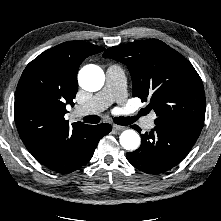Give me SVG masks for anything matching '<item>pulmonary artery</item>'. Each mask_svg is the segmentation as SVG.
<instances>
[{
	"label": "pulmonary artery",
	"mask_w": 221,
	"mask_h": 221,
	"mask_svg": "<svg viewBox=\"0 0 221 221\" xmlns=\"http://www.w3.org/2000/svg\"><path fill=\"white\" fill-rule=\"evenodd\" d=\"M126 98L125 75L118 65H110L106 70V82L101 91L96 93L88 103L77 109L78 115L96 114L114 102L123 103ZM154 115H150L145 121L147 129L154 127Z\"/></svg>",
	"instance_id": "obj_1"
}]
</instances>
